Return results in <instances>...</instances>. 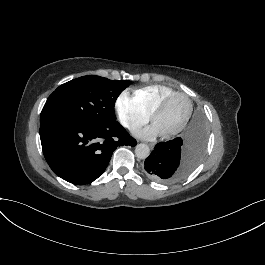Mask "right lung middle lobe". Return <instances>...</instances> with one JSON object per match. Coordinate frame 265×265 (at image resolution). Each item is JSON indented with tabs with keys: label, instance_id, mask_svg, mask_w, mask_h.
I'll return each mask as SVG.
<instances>
[{
	"label": "right lung middle lobe",
	"instance_id": "right-lung-middle-lobe-1",
	"mask_svg": "<svg viewBox=\"0 0 265 265\" xmlns=\"http://www.w3.org/2000/svg\"><path fill=\"white\" fill-rule=\"evenodd\" d=\"M130 83V80L113 81L89 75L62 84L47 99L40 125L62 118L84 119L98 124L117 122L115 101Z\"/></svg>",
	"mask_w": 265,
	"mask_h": 265
}]
</instances>
